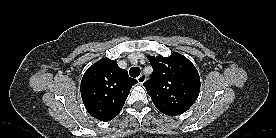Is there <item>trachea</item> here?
Wrapping results in <instances>:
<instances>
[{
  "instance_id": "obj_1",
  "label": "trachea",
  "mask_w": 276,
  "mask_h": 138,
  "mask_svg": "<svg viewBox=\"0 0 276 138\" xmlns=\"http://www.w3.org/2000/svg\"><path fill=\"white\" fill-rule=\"evenodd\" d=\"M140 74V68L139 67H131L129 70V75L133 78L138 77Z\"/></svg>"
}]
</instances>
